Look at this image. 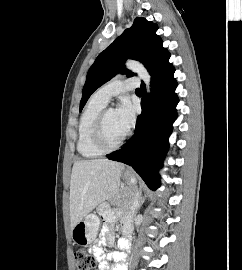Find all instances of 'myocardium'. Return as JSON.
Listing matches in <instances>:
<instances>
[{"instance_id":"obj_1","label":"myocardium","mask_w":242,"mask_h":270,"mask_svg":"<svg viewBox=\"0 0 242 270\" xmlns=\"http://www.w3.org/2000/svg\"><path fill=\"white\" fill-rule=\"evenodd\" d=\"M112 108H104L98 115L96 122L94 124L92 133V142L96 148L102 152H112L120 148V146L125 142L128 137V132H126L123 137L115 144H108L105 139V122L108 112Z\"/></svg>"}]
</instances>
